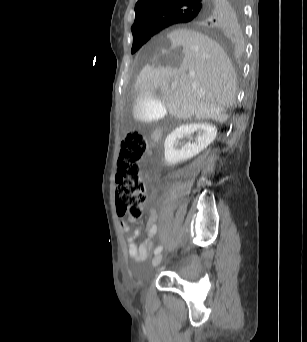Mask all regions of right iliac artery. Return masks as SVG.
<instances>
[{
    "label": "right iliac artery",
    "instance_id": "right-iliac-artery-1",
    "mask_svg": "<svg viewBox=\"0 0 307 342\" xmlns=\"http://www.w3.org/2000/svg\"><path fill=\"white\" fill-rule=\"evenodd\" d=\"M161 251H162V246H158V247L155 249L154 254L156 255V254L160 253Z\"/></svg>",
    "mask_w": 307,
    "mask_h": 342
}]
</instances>
